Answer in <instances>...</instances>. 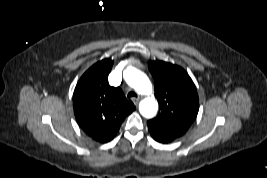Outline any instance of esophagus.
I'll list each match as a JSON object with an SVG mask.
<instances>
[{
  "label": "esophagus",
  "mask_w": 267,
  "mask_h": 178,
  "mask_svg": "<svg viewBox=\"0 0 267 178\" xmlns=\"http://www.w3.org/2000/svg\"><path fill=\"white\" fill-rule=\"evenodd\" d=\"M132 101H133L134 105L137 106L140 99L139 98H132Z\"/></svg>",
  "instance_id": "34e87169"
}]
</instances>
